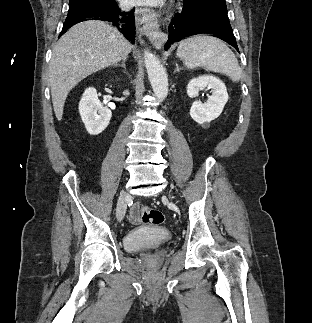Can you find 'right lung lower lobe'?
<instances>
[{
    "label": "right lung lower lobe",
    "instance_id": "1",
    "mask_svg": "<svg viewBox=\"0 0 312 323\" xmlns=\"http://www.w3.org/2000/svg\"><path fill=\"white\" fill-rule=\"evenodd\" d=\"M88 19L111 22L129 40H134V11H121L115 1L69 11L60 36L72 25Z\"/></svg>",
    "mask_w": 312,
    "mask_h": 323
}]
</instances>
